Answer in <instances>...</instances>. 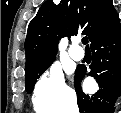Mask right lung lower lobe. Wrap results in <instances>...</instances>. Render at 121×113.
Instances as JSON below:
<instances>
[{"mask_svg": "<svg viewBox=\"0 0 121 113\" xmlns=\"http://www.w3.org/2000/svg\"><path fill=\"white\" fill-rule=\"evenodd\" d=\"M93 61L90 75L95 77L99 90L89 96L80 86L86 68L77 67L75 89L80 113H112L121 87V25L91 43Z\"/></svg>", "mask_w": 121, "mask_h": 113, "instance_id": "98d812e1", "label": "right lung lower lobe"}]
</instances>
